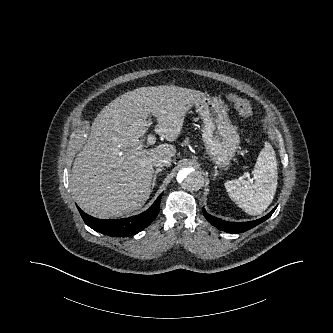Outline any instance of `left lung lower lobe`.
Returning a JSON list of instances; mask_svg holds the SVG:
<instances>
[{"mask_svg": "<svg viewBox=\"0 0 333 333\" xmlns=\"http://www.w3.org/2000/svg\"><path fill=\"white\" fill-rule=\"evenodd\" d=\"M275 209H276V207L266 216H264L258 220L250 221V222H241V223L227 222V221H223L219 218L213 217V216L209 215L205 211L204 208H203V214H204L205 218L218 229L228 232V233H241V232H245V231L257 226L258 224L262 223L263 221L267 220L273 214Z\"/></svg>", "mask_w": 333, "mask_h": 333, "instance_id": "1", "label": "left lung lower lobe"}]
</instances>
